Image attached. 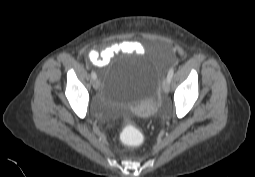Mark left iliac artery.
I'll return each instance as SVG.
<instances>
[{
	"mask_svg": "<svg viewBox=\"0 0 255 177\" xmlns=\"http://www.w3.org/2000/svg\"><path fill=\"white\" fill-rule=\"evenodd\" d=\"M173 74H174V69L171 68V69L169 70V72H168V75H167V79H168L169 82L171 81V79H172V77H173Z\"/></svg>",
	"mask_w": 255,
	"mask_h": 177,
	"instance_id": "44dca946",
	"label": "left iliac artery"
}]
</instances>
